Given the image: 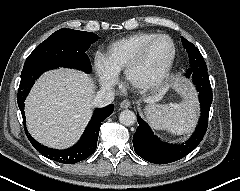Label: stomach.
I'll list each match as a JSON object with an SVG mask.
<instances>
[{
	"label": "stomach",
	"instance_id": "1",
	"mask_svg": "<svg viewBox=\"0 0 240 191\" xmlns=\"http://www.w3.org/2000/svg\"><path fill=\"white\" fill-rule=\"evenodd\" d=\"M170 87L182 95L184 102L181 104H174L169 106H159L157 104L151 103L145 108L146 115L148 116V114L154 110H159L163 107H167L170 111L174 112L181 118H184L185 120H191L194 123L196 104L194 91L187 82L178 77H175L171 80Z\"/></svg>",
	"mask_w": 240,
	"mask_h": 191
}]
</instances>
